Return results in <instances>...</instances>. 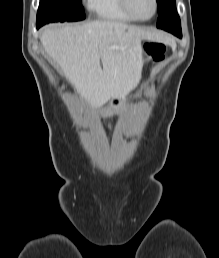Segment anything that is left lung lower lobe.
Segmentation results:
<instances>
[{
	"label": "left lung lower lobe",
	"instance_id": "1",
	"mask_svg": "<svg viewBox=\"0 0 219 258\" xmlns=\"http://www.w3.org/2000/svg\"><path fill=\"white\" fill-rule=\"evenodd\" d=\"M163 30L168 31L179 38H182L181 27H178V28L170 27V28H165Z\"/></svg>",
	"mask_w": 219,
	"mask_h": 258
}]
</instances>
